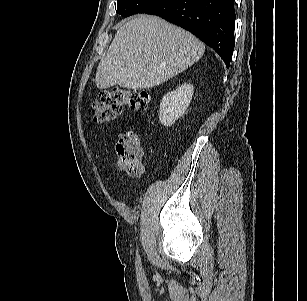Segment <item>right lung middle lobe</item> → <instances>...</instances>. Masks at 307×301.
<instances>
[{"label": "right lung middle lobe", "mask_w": 307, "mask_h": 301, "mask_svg": "<svg viewBox=\"0 0 307 301\" xmlns=\"http://www.w3.org/2000/svg\"><path fill=\"white\" fill-rule=\"evenodd\" d=\"M159 0H118L117 13L123 17L141 13Z\"/></svg>", "instance_id": "1"}]
</instances>
